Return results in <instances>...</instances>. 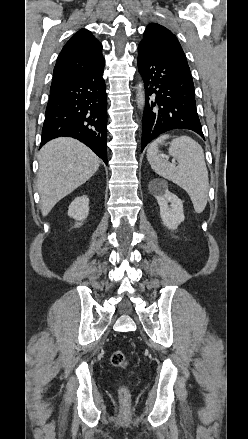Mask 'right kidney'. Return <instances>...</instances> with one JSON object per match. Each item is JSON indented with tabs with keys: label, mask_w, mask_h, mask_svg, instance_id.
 Here are the masks:
<instances>
[{
	"label": "right kidney",
	"mask_w": 248,
	"mask_h": 439,
	"mask_svg": "<svg viewBox=\"0 0 248 439\" xmlns=\"http://www.w3.org/2000/svg\"><path fill=\"white\" fill-rule=\"evenodd\" d=\"M89 214V198L86 195L75 198L68 208V215L79 221L75 224V227L82 225L83 220L87 218Z\"/></svg>",
	"instance_id": "right-kidney-1"
}]
</instances>
